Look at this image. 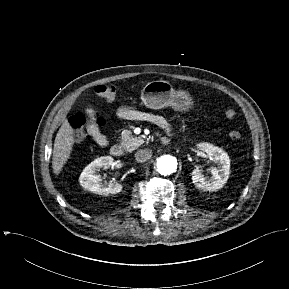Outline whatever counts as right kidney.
Returning a JSON list of instances; mask_svg holds the SVG:
<instances>
[{"label":"right kidney","mask_w":289,"mask_h":289,"mask_svg":"<svg viewBox=\"0 0 289 289\" xmlns=\"http://www.w3.org/2000/svg\"><path fill=\"white\" fill-rule=\"evenodd\" d=\"M114 160L111 156H102L92 161L88 166L85 167L79 177L80 185L99 195L117 194L122 191V185L115 182L103 184L97 172L101 168L107 169L110 166H114Z\"/></svg>","instance_id":"ca27d5eb"}]
</instances>
